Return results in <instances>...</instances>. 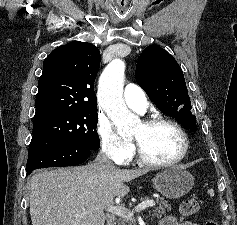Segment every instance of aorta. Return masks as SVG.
<instances>
[{"label":"aorta","mask_w":237,"mask_h":225,"mask_svg":"<svg viewBox=\"0 0 237 225\" xmlns=\"http://www.w3.org/2000/svg\"><path fill=\"white\" fill-rule=\"evenodd\" d=\"M124 73V61L114 59L104 69L98 84L99 104L120 135L132 132L139 122V118L127 109L123 100Z\"/></svg>","instance_id":"1"}]
</instances>
